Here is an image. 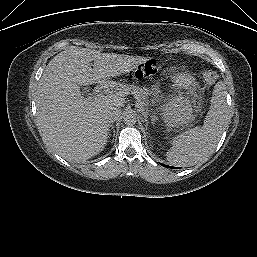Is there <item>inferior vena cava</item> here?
Wrapping results in <instances>:
<instances>
[{"label":"inferior vena cava","instance_id":"inferior-vena-cava-1","mask_svg":"<svg viewBox=\"0 0 257 257\" xmlns=\"http://www.w3.org/2000/svg\"><path fill=\"white\" fill-rule=\"evenodd\" d=\"M121 114V110L114 108L110 109L105 113V118L108 120L109 123L117 120Z\"/></svg>","mask_w":257,"mask_h":257}]
</instances>
